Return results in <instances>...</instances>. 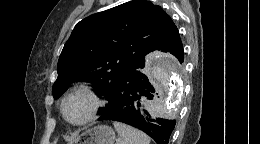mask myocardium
Segmentation results:
<instances>
[{"mask_svg": "<svg viewBox=\"0 0 260 144\" xmlns=\"http://www.w3.org/2000/svg\"><path fill=\"white\" fill-rule=\"evenodd\" d=\"M77 94H85L91 101V108H90L89 113L83 120H81L79 122H73V121H70L66 116L65 104L71 97H73ZM101 106H102L101 99H100L99 95L97 94V92L95 91V89L87 83H82V84H79V85L73 87L63 97V99L61 101V114H62V117L64 118V120L66 122H68L69 124H71L73 126H82V125H85V124L91 122L93 119H95Z\"/></svg>", "mask_w": 260, "mask_h": 144, "instance_id": "obj_1", "label": "myocardium"}]
</instances>
